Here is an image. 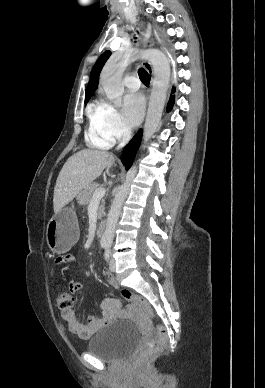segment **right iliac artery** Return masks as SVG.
<instances>
[{"label":"right iliac artery","instance_id":"82829eb1","mask_svg":"<svg viewBox=\"0 0 265 388\" xmlns=\"http://www.w3.org/2000/svg\"><path fill=\"white\" fill-rule=\"evenodd\" d=\"M103 247H107V245H103Z\"/></svg>","mask_w":265,"mask_h":388}]
</instances>
